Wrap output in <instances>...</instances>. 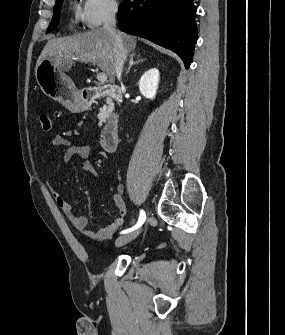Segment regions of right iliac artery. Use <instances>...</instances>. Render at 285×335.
Segmentation results:
<instances>
[{"label": "right iliac artery", "instance_id": "obj_1", "mask_svg": "<svg viewBox=\"0 0 285 335\" xmlns=\"http://www.w3.org/2000/svg\"><path fill=\"white\" fill-rule=\"evenodd\" d=\"M145 220H146L145 211L141 210L140 211L139 220H138L137 224L134 227L130 228V229L122 231L121 233H128V232L134 231L135 229L139 228L145 222Z\"/></svg>", "mask_w": 285, "mask_h": 335}]
</instances>
